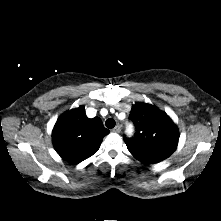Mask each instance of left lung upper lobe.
Segmentation results:
<instances>
[{"instance_id":"1","label":"left lung upper lobe","mask_w":221,"mask_h":221,"mask_svg":"<svg viewBox=\"0 0 221 221\" xmlns=\"http://www.w3.org/2000/svg\"><path fill=\"white\" fill-rule=\"evenodd\" d=\"M135 134L124 137L130 153L139 161L152 164L168 158L177 148L179 132L171 118L155 106L136 103L130 112Z\"/></svg>"}]
</instances>
